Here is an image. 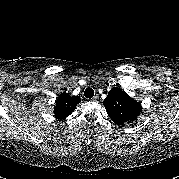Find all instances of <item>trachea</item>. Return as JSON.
Returning a JSON list of instances; mask_svg holds the SVG:
<instances>
[{
	"label": "trachea",
	"mask_w": 179,
	"mask_h": 179,
	"mask_svg": "<svg viewBox=\"0 0 179 179\" xmlns=\"http://www.w3.org/2000/svg\"><path fill=\"white\" fill-rule=\"evenodd\" d=\"M84 96L88 99H91L94 96V90L90 87L86 88L84 91Z\"/></svg>",
	"instance_id": "3493384b"
}]
</instances>
